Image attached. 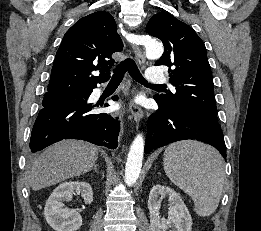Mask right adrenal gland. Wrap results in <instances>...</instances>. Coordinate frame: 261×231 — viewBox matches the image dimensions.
Listing matches in <instances>:
<instances>
[{
  "instance_id": "2a0ac1e0",
  "label": "right adrenal gland",
  "mask_w": 261,
  "mask_h": 231,
  "mask_svg": "<svg viewBox=\"0 0 261 231\" xmlns=\"http://www.w3.org/2000/svg\"><path fill=\"white\" fill-rule=\"evenodd\" d=\"M97 164H95L93 167H92V170H95L96 172H98V168H97Z\"/></svg>"
}]
</instances>
